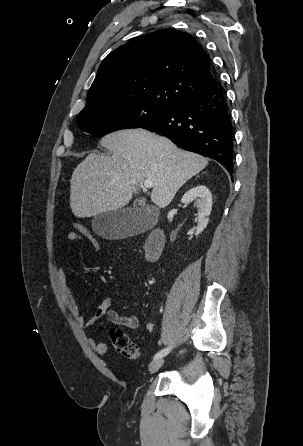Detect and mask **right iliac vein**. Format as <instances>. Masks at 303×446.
Masks as SVG:
<instances>
[{
    "label": "right iliac vein",
    "mask_w": 303,
    "mask_h": 446,
    "mask_svg": "<svg viewBox=\"0 0 303 446\" xmlns=\"http://www.w3.org/2000/svg\"><path fill=\"white\" fill-rule=\"evenodd\" d=\"M163 363H164V359H162V358L153 360L149 364V372L151 374H154L155 372H157L161 368Z\"/></svg>",
    "instance_id": "1"
}]
</instances>
